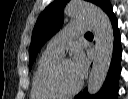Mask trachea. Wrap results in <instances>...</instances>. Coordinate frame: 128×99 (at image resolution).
Masks as SVG:
<instances>
[{"mask_svg":"<svg viewBox=\"0 0 128 99\" xmlns=\"http://www.w3.org/2000/svg\"><path fill=\"white\" fill-rule=\"evenodd\" d=\"M85 35H92V33L91 32H87Z\"/></svg>","mask_w":128,"mask_h":99,"instance_id":"3493384b","label":"trachea"}]
</instances>
